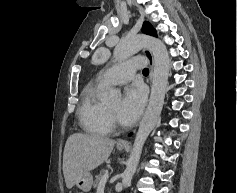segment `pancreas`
<instances>
[{
	"mask_svg": "<svg viewBox=\"0 0 237 193\" xmlns=\"http://www.w3.org/2000/svg\"><path fill=\"white\" fill-rule=\"evenodd\" d=\"M106 171H107V170L102 169V170L100 171L99 175L96 176V179H95V182H94V187H97V186H98V184H99L101 178H102L103 175L106 173Z\"/></svg>",
	"mask_w": 237,
	"mask_h": 193,
	"instance_id": "obj_1",
	"label": "pancreas"
}]
</instances>
